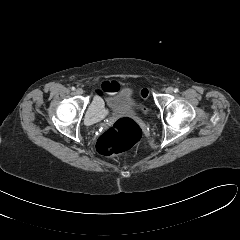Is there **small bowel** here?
<instances>
[{"label": "small bowel", "mask_w": 240, "mask_h": 240, "mask_svg": "<svg viewBox=\"0 0 240 240\" xmlns=\"http://www.w3.org/2000/svg\"><path fill=\"white\" fill-rule=\"evenodd\" d=\"M119 84L115 81H105L101 88L97 90V94L94 97L89 110L86 115V122L88 124H94L100 121L107 115V110L104 107L103 94H111L118 90Z\"/></svg>", "instance_id": "small-bowel-1"}]
</instances>
